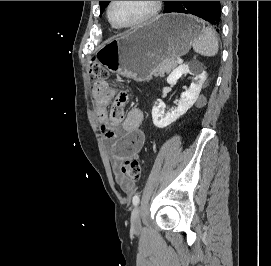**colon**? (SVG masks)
Here are the masks:
<instances>
[{
    "label": "colon",
    "mask_w": 271,
    "mask_h": 266,
    "mask_svg": "<svg viewBox=\"0 0 271 266\" xmlns=\"http://www.w3.org/2000/svg\"><path fill=\"white\" fill-rule=\"evenodd\" d=\"M108 77L107 71L99 64L92 63L89 70V78L95 86L103 87L106 85ZM121 99L128 98V93L124 90L118 93ZM120 173L131 181L139 180L141 176V164L138 160H124L119 164Z\"/></svg>",
    "instance_id": "5ec220e1"
}]
</instances>
